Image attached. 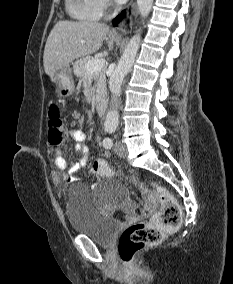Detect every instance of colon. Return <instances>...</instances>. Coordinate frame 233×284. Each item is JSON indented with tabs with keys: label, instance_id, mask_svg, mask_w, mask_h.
I'll list each match as a JSON object with an SVG mask.
<instances>
[{
	"label": "colon",
	"instance_id": "1",
	"mask_svg": "<svg viewBox=\"0 0 233 284\" xmlns=\"http://www.w3.org/2000/svg\"><path fill=\"white\" fill-rule=\"evenodd\" d=\"M48 142L59 147L66 138V128L61 118V110L57 104H51L48 111ZM92 170L102 177H112L116 172L102 159L92 164ZM130 181L137 187L148 206H152L158 198L161 204L153 222L136 223L126 228L118 242V252L122 262L131 267L136 255L146 246L159 243L164 234L176 229L181 221V208L174 196L163 186L154 184L155 192L149 193L135 178Z\"/></svg>",
	"mask_w": 233,
	"mask_h": 284
}]
</instances>
